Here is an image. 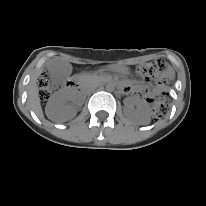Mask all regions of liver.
Instances as JSON below:
<instances>
[{
    "label": "liver",
    "instance_id": "liver-1",
    "mask_svg": "<svg viewBox=\"0 0 206 206\" xmlns=\"http://www.w3.org/2000/svg\"><path fill=\"white\" fill-rule=\"evenodd\" d=\"M40 73L41 72L35 75L29 83L27 101H28V105L35 112V114L39 118L43 119L44 116H43V111H42L41 104H40L39 90H38V85H37V81H38L37 79ZM74 116H75L74 113H70L66 109L65 111L58 112V114L54 116L48 115V118L54 122L62 123V122H66L70 120Z\"/></svg>",
    "mask_w": 206,
    "mask_h": 206
}]
</instances>
